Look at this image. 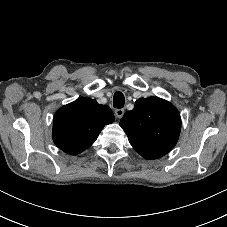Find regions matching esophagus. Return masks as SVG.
I'll use <instances>...</instances> for the list:
<instances>
[{
    "instance_id": "obj_1",
    "label": "esophagus",
    "mask_w": 227,
    "mask_h": 227,
    "mask_svg": "<svg viewBox=\"0 0 227 227\" xmlns=\"http://www.w3.org/2000/svg\"><path fill=\"white\" fill-rule=\"evenodd\" d=\"M115 115L117 118H122V116L124 115V109H116Z\"/></svg>"
}]
</instances>
